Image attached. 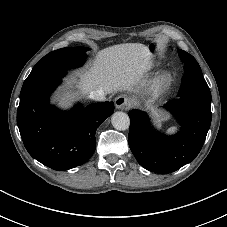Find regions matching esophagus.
Segmentation results:
<instances>
[{
    "instance_id": "esophagus-1",
    "label": "esophagus",
    "mask_w": 227,
    "mask_h": 227,
    "mask_svg": "<svg viewBox=\"0 0 227 227\" xmlns=\"http://www.w3.org/2000/svg\"><path fill=\"white\" fill-rule=\"evenodd\" d=\"M129 103H130L129 99L124 96H118L115 99V106L117 109H122V110L127 109Z\"/></svg>"
}]
</instances>
